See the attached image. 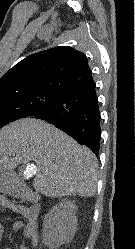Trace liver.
Wrapping results in <instances>:
<instances>
[{"label": "liver", "instance_id": "obj_1", "mask_svg": "<svg viewBox=\"0 0 135 249\" xmlns=\"http://www.w3.org/2000/svg\"><path fill=\"white\" fill-rule=\"evenodd\" d=\"M30 161L37 164L33 187L42 195H95L98 161L88 147L35 118H22L0 129V168L13 171Z\"/></svg>", "mask_w": 135, "mask_h": 249}]
</instances>
